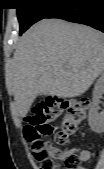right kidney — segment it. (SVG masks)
I'll return each instance as SVG.
<instances>
[{"label":"right kidney","instance_id":"1","mask_svg":"<svg viewBox=\"0 0 104 169\" xmlns=\"http://www.w3.org/2000/svg\"><path fill=\"white\" fill-rule=\"evenodd\" d=\"M104 94V75L97 80L94 90L91 109L89 111V125L93 131L101 133L104 131V113H98L99 103Z\"/></svg>","mask_w":104,"mask_h":169}]
</instances>
